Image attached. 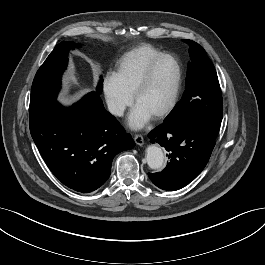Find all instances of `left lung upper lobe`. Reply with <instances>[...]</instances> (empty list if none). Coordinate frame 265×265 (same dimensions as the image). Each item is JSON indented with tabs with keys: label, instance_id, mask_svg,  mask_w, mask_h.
Listing matches in <instances>:
<instances>
[{
	"label": "left lung upper lobe",
	"instance_id": "5c2ea615",
	"mask_svg": "<svg viewBox=\"0 0 265 265\" xmlns=\"http://www.w3.org/2000/svg\"><path fill=\"white\" fill-rule=\"evenodd\" d=\"M183 41L190 46L191 59L186 90L163 123L191 121L217 136L223 116V102L216 70L199 44L191 40Z\"/></svg>",
	"mask_w": 265,
	"mask_h": 265
}]
</instances>
